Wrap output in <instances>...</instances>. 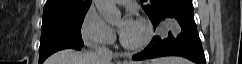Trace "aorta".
<instances>
[{
    "label": "aorta",
    "instance_id": "1",
    "mask_svg": "<svg viewBox=\"0 0 242 64\" xmlns=\"http://www.w3.org/2000/svg\"><path fill=\"white\" fill-rule=\"evenodd\" d=\"M99 14L110 24L117 23L121 18V12L117 9L114 0H94Z\"/></svg>",
    "mask_w": 242,
    "mask_h": 64
}]
</instances>
